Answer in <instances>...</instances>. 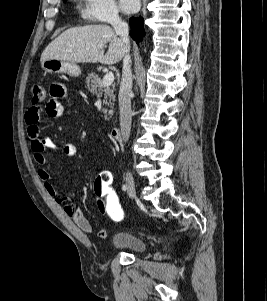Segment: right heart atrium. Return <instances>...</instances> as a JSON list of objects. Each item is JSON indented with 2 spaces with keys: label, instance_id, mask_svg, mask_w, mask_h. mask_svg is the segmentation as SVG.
I'll use <instances>...</instances> for the list:
<instances>
[{
  "label": "right heart atrium",
  "instance_id": "1",
  "mask_svg": "<svg viewBox=\"0 0 267 301\" xmlns=\"http://www.w3.org/2000/svg\"><path fill=\"white\" fill-rule=\"evenodd\" d=\"M82 15L88 22H113L120 20L114 0H83Z\"/></svg>",
  "mask_w": 267,
  "mask_h": 301
}]
</instances>
